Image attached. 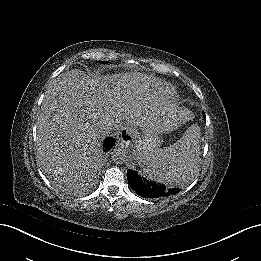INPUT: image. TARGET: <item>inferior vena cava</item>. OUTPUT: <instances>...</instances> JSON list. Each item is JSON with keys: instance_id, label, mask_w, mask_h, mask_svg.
Masks as SVG:
<instances>
[{"instance_id": "602c4592", "label": "inferior vena cava", "mask_w": 261, "mask_h": 261, "mask_svg": "<svg viewBox=\"0 0 261 261\" xmlns=\"http://www.w3.org/2000/svg\"><path fill=\"white\" fill-rule=\"evenodd\" d=\"M118 128V126L116 124H108L105 127V133L107 135L111 134L112 132H114L116 129Z\"/></svg>"}]
</instances>
